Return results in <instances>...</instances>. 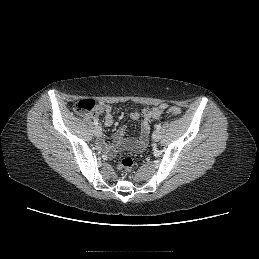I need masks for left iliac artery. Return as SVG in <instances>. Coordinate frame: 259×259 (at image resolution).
<instances>
[{"mask_svg": "<svg viewBox=\"0 0 259 259\" xmlns=\"http://www.w3.org/2000/svg\"><path fill=\"white\" fill-rule=\"evenodd\" d=\"M157 130H160L161 129V125L160 124H158V125H156V127H155Z\"/></svg>", "mask_w": 259, "mask_h": 259, "instance_id": "obj_1", "label": "left iliac artery"}]
</instances>
